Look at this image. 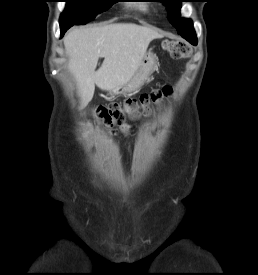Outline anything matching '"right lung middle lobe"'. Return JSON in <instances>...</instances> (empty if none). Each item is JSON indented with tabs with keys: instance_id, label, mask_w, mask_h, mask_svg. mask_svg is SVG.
Masks as SVG:
<instances>
[{
	"instance_id": "obj_1",
	"label": "right lung middle lobe",
	"mask_w": 258,
	"mask_h": 275,
	"mask_svg": "<svg viewBox=\"0 0 258 275\" xmlns=\"http://www.w3.org/2000/svg\"><path fill=\"white\" fill-rule=\"evenodd\" d=\"M60 25H80L90 22L96 15L108 10L115 0H66Z\"/></svg>"
}]
</instances>
